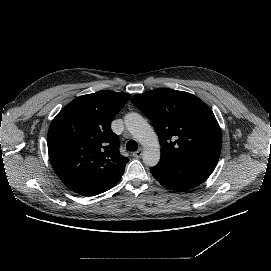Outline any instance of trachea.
<instances>
[{
    "label": "trachea",
    "instance_id": "1",
    "mask_svg": "<svg viewBox=\"0 0 271 271\" xmlns=\"http://www.w3.org/2000/svg\"><path fill=\"white\" fill-rule=\"evenodd\" d=\"M138 148V144L135 140H130L126 144V150L128 151H136Z\"/></svg>",
    "mask_w": 271,
    "mask_h": 271
}]
</instances>
